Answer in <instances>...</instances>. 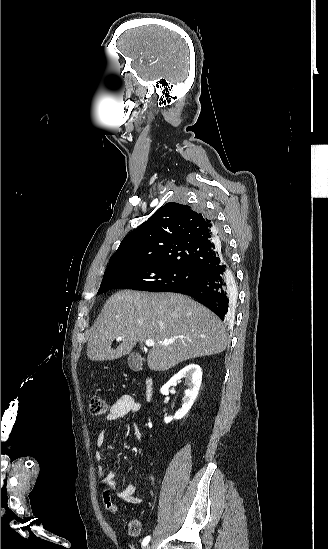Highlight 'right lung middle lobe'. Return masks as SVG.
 <instances>
[{"mask_svg":"<svg viewBox=\"0 0 328 549\" xmlns=\"http://www.w3.org/2000/svg\"><path fill=\"white\" fill-rule=\"evenodd\" d=\"M201 275L196 270L181 266L130 261L105 272L98 294L114 288L165 292L191 283Z\"/></svg>","mask_w":328,"mask_h":549,"instance_id":"right-lung-middle-lobe-1","label":"right lung middle lobe"}]
</instances>
